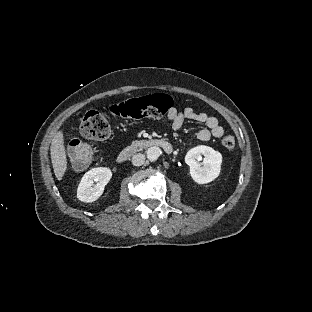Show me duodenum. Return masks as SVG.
I'll list each match as a JSON object with an SVG mask.
<instances>
[{
  "label": "duodenum",
  "instance_id": "obj_1",
  "mask_svg": "<svg viewBox=\"0 0 312 312\" xmlns=\"http://www.w3.org/2000/svg\"><path fill=\"white\" fill-rule=\"evenodd\" d=\"M149 147H159L164 150L168 154H172L174 152L173 144L162 138H151L146 141H143L137 145H129L126 146L117 156L118 162H125L128 158H130L135 152L141 149H146Z\"/></svg>",
  "mask_w": 312,
  "mask_h": 312
}]
</instances>
